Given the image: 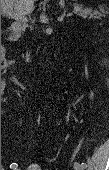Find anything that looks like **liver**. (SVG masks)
<instances>
[{
  "label": "liver",
  "instance_id": "6515ba94",
  "mask_svg": "<svg viewBox=\"0 0 109 170\" xmlns=\"http://www.w3.org/2000/svg\"><path fill=\"white\" fill-rule=\"evenodd\" d=\"M36 1L37 0H2V6L9 7V9L12 8L14 12L26 15L34 10V3Z\"/></svg>",
  "mask_w": 109,
  "mask_h": 170
}]
</instances>
